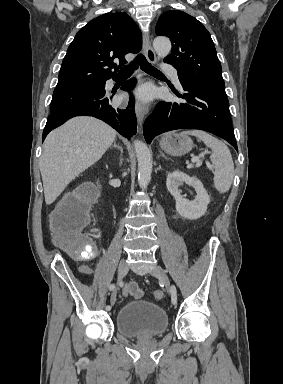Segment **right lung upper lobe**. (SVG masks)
Segmentation results:
<instances>
[{
    "instance_id": "1",
    "label": "right lung upper lobe",
    "mask_w": 283,
    "mask_h": 384,
    "mask_svg": "<svg viewBox=\"0 0 283 384\" xmlns=\"http://www.w3.org/2000/svg\"><path fill=\"white\" fill-rule=\"evenodd\" d=\"M142 35L136 23L125 13H106L78 31L61 65L56 89L85 87L117 80L122 72L113 63L127 61V53H137ZM115 71L112 72L111 69ZM118 71V72H117Z\"/></svg>"
}]
</instances>
